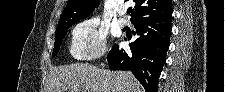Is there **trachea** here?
<instances>
[{
  "label": "trachea",
  "instance_id": "1",
  "mask_svg": "<svg viewBox=\"0 0 225 92\" xmlns=\"http://www.w3.org/2000/svg\"><path fill=\"white\" fill-rule=\"evenodd\" d=\"M131 13H132V9H128L127 14H131Z\"/></svg>",
  "mask_w": 225,
  "mask_h": 92
}]
</instances>
